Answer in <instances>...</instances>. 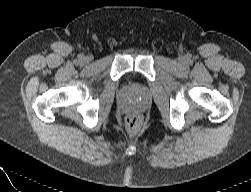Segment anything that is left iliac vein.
Here are the masks:
<instances>
[{"label": "left iliac vein", "instance_id": "obj_1", "mask_svg": "<svg viewBox=\"0 0 251 192\" xmlns=\"http://www.w3.org/2000/svg\"><path fill=\"white\" fill-rule=\"evenodd\" d=\"M184 61H185V59H184V58H181V59H180V62H182V63H183Z\"/></svg>", "mask_w": 251, "mask_h": 192}]
</instances>
